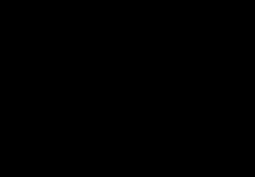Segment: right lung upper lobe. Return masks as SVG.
Wrapping results in <instances>:
<instances>
[{
	"label": "right lung upper lobe",
	"mask_w": 255,
	"mask_h": 177,
	"mask_svg": "<svg viewBox=\"0 0 255 177\" xmlns=\"http://www.w3.org/2000/svg\"><path fill=\"white\" fill-rule=\"evenodd\" d=\"M124 44V38L81 32L57 47L44 72V95L53 114L63 106L88 103L101 94L92 88L97 70H103L101 54L106 48Z\"/></svg>",
	"instance_id": "obj_1"
}]
</instances>
